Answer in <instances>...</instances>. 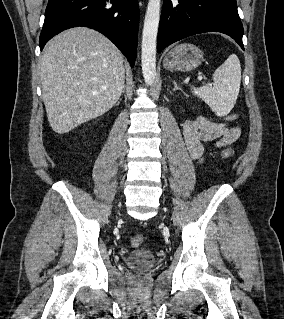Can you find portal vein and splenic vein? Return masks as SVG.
Returning a JSON list of instances; mask_svg holds the SVG:
<instances>
[{"label":"portal vein and splenic vein","instance_id":"18ae733b","mask_svg":"<svg viewBox=\"0 0 284 319\" xmlns=\"http://www.w3.org/2000/svg\"><path fill=\"white\" fill-rule=\"evenodd\" d=\"M202 79H205V78H203L202 76H199V77H198V80H199V81H201Z\"/></svg>","mask_w":284,"mask_h":319}]
</instances>
